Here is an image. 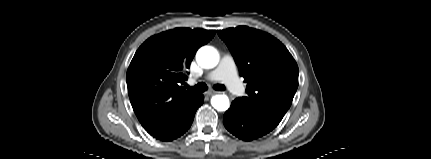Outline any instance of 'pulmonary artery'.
<instances>
[{
  "instance_id": "obj_1",
  "label": "pulmonary artery",
  "mask_w": 431,
  "mask_h": 159,
  "mask_svg": "<svg viewBox=\"0 0 431 159\" xmlns=\"http://www.w3.org/2000/svg\"><path fill=\"white\" fill-rule=\"evenodd\" d=\"M205 79L224 83L229 91L235 95L244 93V87L237 76L235 61L230 55H224L219 65L208 73Z\"/></svg>"
}]
</instances>
